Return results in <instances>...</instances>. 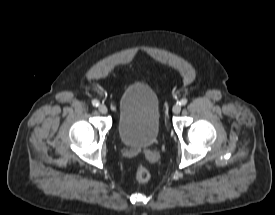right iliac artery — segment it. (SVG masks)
<instances>
[{
	"mask_svg": "<svg viewBox=\"0 0 275 215\" xmlns=\"http://www.w3.org/2000/svg\"><path fill=\"white\" fill-rule=\"evenodd\" d=\"M99 104H100V102L98 100H96V99L92 100L93 106L97 107V106H99Z\"/></svg>",
	"mask_w": 275,
	"mask_h": 215,
	"instance_id": "obj_1",
	"label": "right iliac artery"
}]
</instances>
